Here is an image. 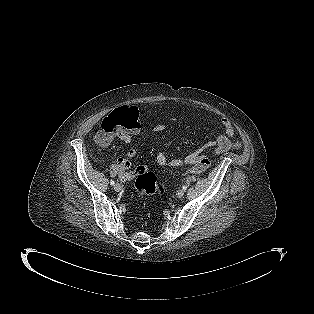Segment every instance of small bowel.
Masks as SVG:
<instances>
[{
  "label": "small bowel",
  "mask_w": 314,
  "mask_h": 314,
  "mask_svg": "<svg viewBox=\"0 0 314 314\" xmlns=\"http://www.w3.org/2000/svg\"><path fill=\"white\" fill-rule=\"evenodd\" d=\"M221 125L223 127V133L217 135L215 140L207 142L202 147L196 149L194 152L189 154L185 158H174L170 161L167 160L166 155L162 151H158L156 154V162L160 166H165L169 164L172 167H181V166H192L194 165L202 156V152L206 148H212L214 154H221L231 149H237L240 147L238 142H235L232 137L234 133V128L231 122L228 119L223 118L221 120ZM166 129L164 123H158L154 126L153 131L162 132ZM140 132V127L129 132H122L117 134V138L122 142L129 143L132 140L134 135H137ZM113 141V137H110L105 142H97L100 147H108ZM137 150L135 148L129 149L124 157H120L116 160V163L120 167V176L123 180H130L137 175V169L131 170V159L135 157ZM146 167V166H144Z\"/></svg>",
  "instance_id": "1"
}]
</instances>
